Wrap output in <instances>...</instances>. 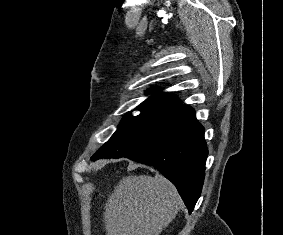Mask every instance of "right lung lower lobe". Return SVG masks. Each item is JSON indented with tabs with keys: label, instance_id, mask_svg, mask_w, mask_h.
<instances>
[{
	"label": "right lung lower lobe",
	"instance_id": "obj_1",
	"mask_svg": "<svg viewBox=\"0 0 283 235\" xmlns=\"http://www.w3.org/2000/svg\"><path fill=\"white\" fill-rule=\"evenodd\" d=\"M207 155L204 128L190 107L168 134L126 158L159 170L176 186L191 213L202 190Z\"/></svg>",
	"mask_w": 283,
	"mask_h": 235
}]
</instances>
